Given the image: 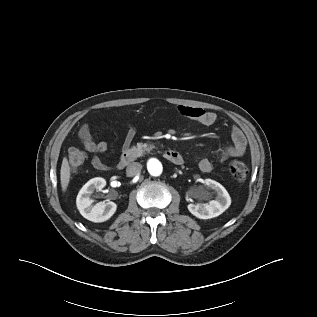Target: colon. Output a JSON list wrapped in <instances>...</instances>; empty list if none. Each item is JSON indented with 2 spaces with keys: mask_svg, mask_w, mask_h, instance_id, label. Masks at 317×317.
Listing matches in <instances>:
<instances>
[{
  "mask_svg": "<svg viewBox=\"0 0 317 317\" xmlns=\"http://www.w3.org/2000/svg\"><path fill=\"white\" fill-rule=\"evenodd\" d=\"M85 152L77 146H73L68 151V165L72 172L78 171L85 161ZM229 172L238 181L243 180L248 174V167L244 161L233 160L229 164Z\"/></svg>",
  "mask_w": 317,
  "mask_h": 317,
  "instance_id": "colon-1",
  "label": "colon"
}]
</instances>
